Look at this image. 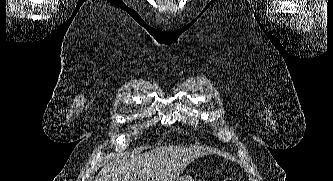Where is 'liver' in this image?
Returning a JSON list of instances; mask_svg holds the SVG:
<instances>
[{"label": "liver", "instance_id": "obj_1", "mask_svg": "<svg viewBox=\"0 0 333 181\" xmlns=\"http://www.w3.org/2000/svg\"><path fill=\"white\" fill-rule=\"evenodd\" d=\"M204 155L200 147L183 146H164L131 157L118 154L104 165L95 181H176L193 160Z\"/></svg>", "mask_w": 333, "mask_h": 181}]
</instances>
